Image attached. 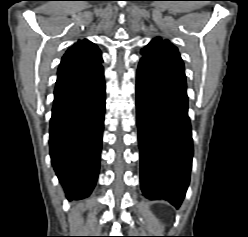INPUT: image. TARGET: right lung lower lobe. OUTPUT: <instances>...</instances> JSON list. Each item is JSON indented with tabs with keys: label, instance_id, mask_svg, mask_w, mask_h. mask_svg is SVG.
<instances>
[{
	"label": "right lung lower lobe",
	"instance_id": "98d812e1",
	"mask_svg": "<svg viewBox=\"0 0 248 237\" xmlns=\"http://www.w3.org/2000/svg\"><path fill=\"white\" fill-rule=\"evenodd\" d=\"M105 112L101 64L59 75L50 123V155L67 198L88 197L97 181Z\"/></svg>",
	"mask_w": 248,
	"mask_h": 237
}]
</instances>
